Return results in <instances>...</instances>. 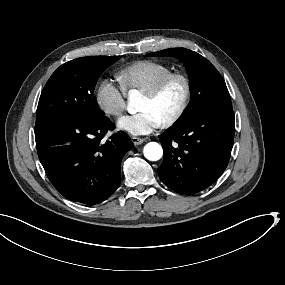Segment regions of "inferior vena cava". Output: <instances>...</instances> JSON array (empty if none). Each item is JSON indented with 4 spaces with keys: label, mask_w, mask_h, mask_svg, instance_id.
Segmentation results:
<instances>
[{
    "label": "inferior vena cava",
    "mask_w": 285,
    "mask_h": 285,
    "mask_svg": "<svg viewBox=\"0 0 285 285\" xmlns=\"http://www.w3.org/2000/svg\"><path fill=\"white\" fill-rule=\"evenodd\" d=\"M122 111H123L122 106H116V107H111L109 110V113L112 115L119 116V115H121Z\"/></svg>",
    "instance_id": "1"
}]
</instances>
